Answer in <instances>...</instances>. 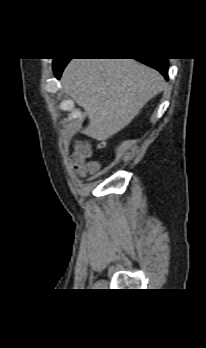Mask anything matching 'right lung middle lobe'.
Segmentation results:
<instances>
[{
    "label": "right lung middle lobe",
    "instance_id": "dd1d6c3e",
    "mask_svg": "<svg viewBox=\"0 0 206 348\" xmlns=\"http://www.w3.org/2000/svg\"><path fill=\"white\" fill-rule=\"evenodd\" d=\"M59 61H60V59H54V61H53V66H54L55 64H57Z\"/></svg>",
    "mask_w": 206,
    "mask_h": 348
}]
</instances>
